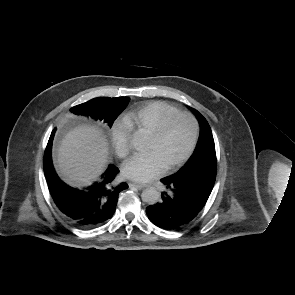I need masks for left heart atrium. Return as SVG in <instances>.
Segmentation results:
<instances>
[{
    "instance_id": "left-heart-atrium-1",
    "label": "left heart atrium",
    "mask_w": 295,
    "mask_h": 295,
    "mask_svg": "<svg viewBox=\"0 0 295 295\" xmlns=\"http://www.w3.org/2000/svg\"><path fill=\"white\" fill-rule=\"evenodd\" d=\"M164 168L155 152H147L130 158L125 163L123 172L132 180L147 182L162 173Z\"/></svg>"
}]
</instances>
